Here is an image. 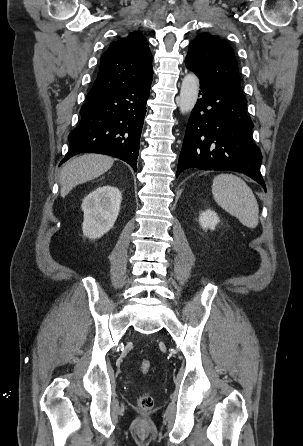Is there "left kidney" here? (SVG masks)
Instances as JSON below:
<instances>
[{
    "label": "left kidney",
    "instance_id": "1",
    "mask_svg": "<svg viewBox=\"0 0 303 446\" xmlns=\"http://www.w3.org/2000/svg\"><path fill=\"white\" fill-rule=\"evenodd\" d=\"M219 221L217 213L213 210L208 209L200 213L199 223L204 230H214Z\"/></svg>",
    "mask_w": 303,
    "mask_h": 446
}]
</instances>
